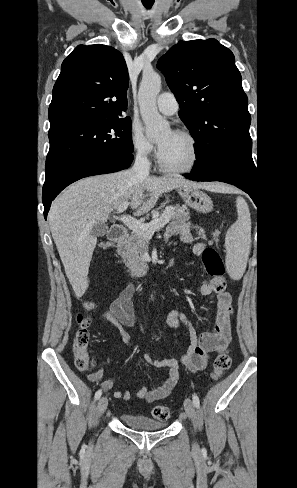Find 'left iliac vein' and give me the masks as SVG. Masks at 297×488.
Returning a JSON list of instances; mask_svg holds the SVG:
<instances>
[{"label":"left iliac vein","mask_w":297,"mask_h":488,"mask_svg":"<svg viewBox=\"0 0 297 488\" xmlns=\"http://www.w3.org/2000/svg\"><path fill=\"white\" fill-rule=\"evenodd\" d=\"M184 409L186 411L187 416L189 417V419L193 422V424L195 426V422H196V411H195V406H194L193 402L191 401V399H189V398H186L185 399V401H184ZM194 447L196 448L197 445L195 444Z\"/></svg>","instance_id":"1"}]
</instances>
